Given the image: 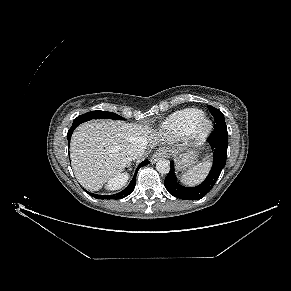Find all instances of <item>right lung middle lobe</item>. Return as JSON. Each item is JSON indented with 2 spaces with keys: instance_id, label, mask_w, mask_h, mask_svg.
I'll use <instances>...</instances> for the list:
<instances>
[{
  "instance_id": "dd1d6c3e",
  "label": "right lung middle lobe",
  "mask_w": 291,
  "mask_h": 291,
  "mask_svg": "<svg viewBox=\"0 0 291 291\" xmlns=\"http://www.w3.org/2000/svg\"><path fill=\"white\" fill-rule=\"evenodd\" d=\"M91 119H113V120H121L123 117H121L118 114L108 112V111H91L85 114H82L74 119L73 123L81 124L83 122L89 121Z\"/></svg>"
}]
</instances>
